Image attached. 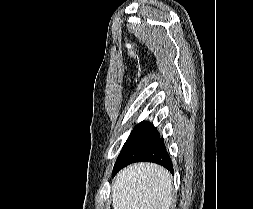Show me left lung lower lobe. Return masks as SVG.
<instances>
[{"mask_svg":"<svg viewBox=\"0 0 253 209\" xmlns=\"http://www.w3.org/2000/svg\"><path fill=\"white\" fill-rule=\"evenodd\" d=\"M136 162H153L162 165L173 174V164L171 158L166 151L163 139L160 137L139 154L134 156L130 155L117 160L113 168L112 176L116 175L127 165Z\"/></svg>","mask_w":253,"mask_h":209,"instance_id":"0a47b994","label":"left lung lower lobe"}]
</instances>
